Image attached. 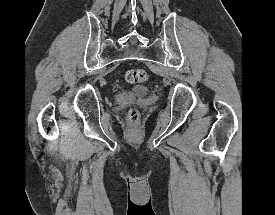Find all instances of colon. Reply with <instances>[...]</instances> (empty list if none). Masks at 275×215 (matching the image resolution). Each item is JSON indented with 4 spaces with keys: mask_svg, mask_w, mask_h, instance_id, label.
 Segmentation results:
<instances>
[{
    "mask_svg": "<svg viewBox=\"0 0 275 215\" xmlns=\"http://www.w3.org/2000/svg\"><path fill=\"white\" fill-rule=\"evenodd\" d=\"M148 78H149L148 72L140 68L128 69L124 73V79L131 84L146 82L148 81ZM128 117L131 122L133 123L138 122L140 118L138 109L134 106L130 107L128 111Z\"/></svg>",
    "mask_w": 275,
    "mask_h": 215,
    "instance_id": "5ec220e1",
    "label": "colon"
}]
</instances>
